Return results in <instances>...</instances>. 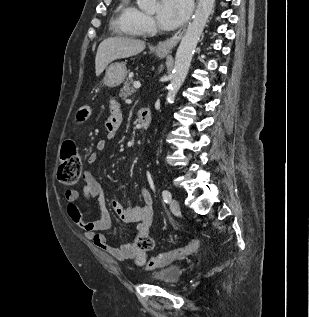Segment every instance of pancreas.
<instances>
[{
  "label": "pancreas",
  "instance_id": "cf45deb5",
  "mask_svg": "<svg viewBox=\"0 0 309 317\" xmlns=\"http://www.w3.org/2000/svg\"><path fill=\"white\" fill-rule=\"evenodd\" d=\"M133 83L134 82L131 78L126 79L122 89L120 90L119 96L122 97L123 99H126L127 97L135 93V89L132 86Z\"/></svg>",
  "mask_w": 309,
  "mask_h": 317
}]
</instances>
